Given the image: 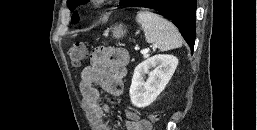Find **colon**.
I'll list each match as a JSON object with an SVG mask.
<instances>
[{
  "instance_id": "5ec220e1",
  "label": "colon",
  "mask_w": 257,
  "mask_h": 130,
  "mask_svg": "<svg viewBox=\"0 0 257 130\" xmlns=\"http://www.w3.org/2000/svg\"><path fill=\"white\" fill-rule=\"evenodd\" d=\"M69 60L73 66L79 67L87 57V47L83 43H77L68 51ZM160 119V115L153 113L149 116L151 124H156Z\"/></svg>"
}]
</instances>
